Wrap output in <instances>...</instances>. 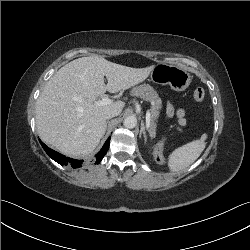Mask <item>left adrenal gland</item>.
Returning <instances> with one entry per match:
<instances>
[{"label":"left adrenal gland","mask_w":250,"mask_h":250,"mask_svg":"<svg viewBox=\"0 0 250 250\" xmlns=\"http://www.w3.org/2000/svg\"><path fill=\"white\" fill-rule=\"evenodd\" d=\"M146 133H147V131H146V127H145V124H144V121H141V129H140V137H141V135L143 134L144 135V137H146Z\"/></svg>","instance_id":"obj_1"}]
</instances>
